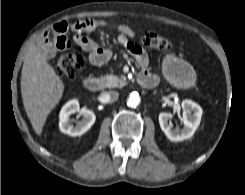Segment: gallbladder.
<instances>
[{"label": "gallbladder", "instance_id": "bac80fb5", "mask_svg": "<svg viewBox=\"0 0 245 195\" xmlns=\"http://www.w3.org/2000/svg\"><path fill=\"white\" fill-rule=\"evenodd\" d=\"M48 53L47 56L52 58L56 55V49L54 47H52L51 45H48L47 47Z\"/></svg>", "mask_w": 245, "mask_h": 195}]
</instances>
